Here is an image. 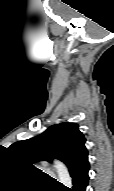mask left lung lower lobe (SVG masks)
<instances>
[{
    "label": "left lung lower lobe",
    "instance_id": "left-lung-lower-lobe-1",
    "mask_svg": "<svg viewBox=\"0 0 114 191\" xmlns=\"http://www.w3.org/2000/svg\"><path fill=\"white\" fill-rule=\"evenodd\" d=\"M88 171H89V162L87 160L71 175L73 183L72 189H64V190L85 191L89 181Z\"/></svg>",
    "mask_w": 114,
    "mask_h": 191
}]
</instances>
